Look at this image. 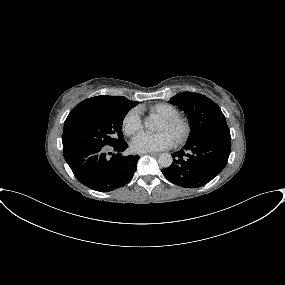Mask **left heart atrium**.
Here are the masks:
<instances>
[{"instance_id":"obj_1","label":"left heart atrium","mask_w":285,"mask_h":285,"mask_svg":"<svg viewBox=\"0 0 285 285\" xmlns=\"http://www.w3.org/2000/svg\"><path fill=\"white\" fill-rule=\"evenodd\" d=\"M173 145V139L165 132L157 134H140L131 142V150L136 153H147L163 150Z\"/></svg>"}]
</instances>
